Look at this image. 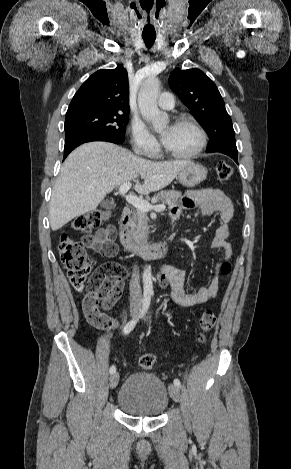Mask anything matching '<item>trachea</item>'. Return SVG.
<instances>
[{"label": "trachea", "instance_id": "1", "mask_svg": "<svg viewBox=\"0 0 291 469\" xmlns=\"http://www.w3.org/2000/svg\"><path fill=\"white\" fill-rule=\"evenodd\" d=\"M156 37H143L144 43L148 48L152 47L155 42Z\"/></svg>", "mask_w": 291, "mask_h": 469}]
</instances>
